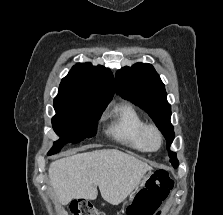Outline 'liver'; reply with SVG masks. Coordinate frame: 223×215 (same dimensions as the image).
I'll list each match as a JSON object with an SVG mask.
<instances>
[{
    "label": "liver",
    "instance_id": "1",
    "mask_svg": "<svg viewBox=\"0 0 223 215\" xmlns=\"http://www.w3.org/2000/svg\"><path fill=\"white\" fill-rule=\"evenodd\" d=\"M153 167L119 149L75 153L50 163V183L63 205L73 197L96 199L97 185L103 199L118 205ZM62 215H68L63 209Z\"/></svg>",
    "mask_w": 223,
    "mask_h": 215
}]
</instances>
